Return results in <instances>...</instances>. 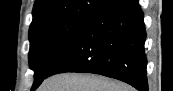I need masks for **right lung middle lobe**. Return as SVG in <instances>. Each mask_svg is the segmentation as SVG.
I'll list each match as a JSON object with an SVG mask.
<instances>
[{
  "mask_svg": "<svg viewBox=\"0 0 173 91\" xmlns=\"http://www.w3.org/2000/svg\"><path fill=\"white\" fill-rule=\"evenodd\" d=\"M90 17H70L30 26L29 63L39 86L58 56Z\"/></svg>",
  "mask_w": 173,
  "mask_h": 91,
  "instance_id": "obj_1",
  "label": "right lung middle lobe"
}]
</instances>
